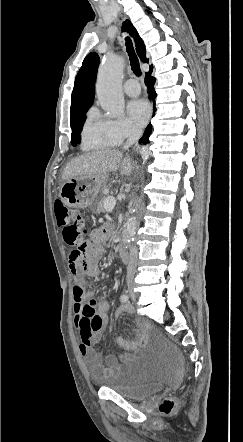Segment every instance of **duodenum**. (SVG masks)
I'll return each mask as SVG.
<instances>
[{"mask_svg":"<svg viewBox=\"0 0 243 442\" xmlns=\"http://www.w3.org/2000/svg\"><path fill=\"white\" fill-rule=\"evenodd\" d=\"M120 257L123 261L129 262L130 260V253L126 246L121 245L119 250Z\"/></svg>","mask_w":243,"mask_h":442,"instance_id":"duodenum-1","label":"duodenum"}]
</instances>
